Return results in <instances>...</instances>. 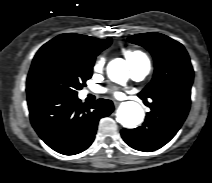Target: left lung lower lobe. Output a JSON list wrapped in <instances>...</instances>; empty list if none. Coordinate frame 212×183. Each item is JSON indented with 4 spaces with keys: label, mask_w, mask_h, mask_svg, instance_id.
<instances>
[{
    "label": "left lung lower lobe",
    "mask_w": 212,
    "mask_h": 183,
    "mask_svg": "<svg viewBox=\"0 0 212 183\" xmlns=\"http://www.w3.org/2000/svg\"><path fill=\"white\" fill-rule=\"evenodd\" d=\"M146 101V98L138 95ZM151 111L142 126L123 129V140L139 151H154L168 143L178 132L190 109V91H170L150 97Z\"/></svg>",
    "instance_id": "left-lung-lower-lobe-1"
}]
</instances>
